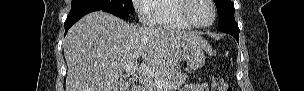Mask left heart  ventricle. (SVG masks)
I'll return each instance as SVG.
<instances>
[{"label": "left heart ventricle", "instance_id": "left-heart-ventricle-1", "mask_svg": "<svg viewBox=\"0 0 304 91\" xmlns=\"http://www.w3.org/2000/svg\"><path fill=\"white\" fill-rule=\"evenodd\" d=\"M193 20L199 24H207L211 21L213 12L206 0H195L190 11Z\"/></svg>", "mask_w": 304, "mask_h": 91}]
</instances>
